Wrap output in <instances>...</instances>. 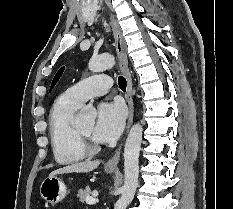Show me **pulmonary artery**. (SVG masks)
Wrapping results in <instances>:
<instances>
[{"mask_svg":"<svg viewBox=\"0 0 233 209\" xmlns=\"http://www.w3.org/2000/svg\"><path fill=\"white\" fill-rule=\"evenodd\" d=\"M111 85L112 79L109 76L94 75L74 84L66 93L73 102L81 105L91 97L107 93Z\"/></svg>","mask_w":233,"mask_h":209,"instance_id":"obj_1","label":"pulmonary artery"}]
</instances>
